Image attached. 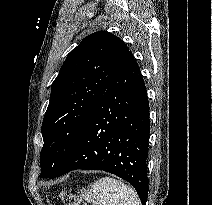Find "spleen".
<instances>
[{"label":"spleen","instance_id":"1","mask_svg":"<svg viewBox=\"0 0 212 205\" xmlns=\"http://www.w3.org/2000/svg\"><path fill=\"white\" fill-rule=\"evenodd\" d=\"M83 188L82 197L92 205H141L136 192L121 180L104 177Z\"/></svg>","mask_w":212,"mask_h":205}]
</instances>
